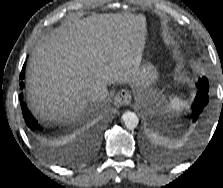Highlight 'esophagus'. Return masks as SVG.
Here are the masks:
<instances>
[{"mask_svg": "<svg viewBox=\"0 0 223 188\" xmlns=\"http://www.w3.org/2000/svg\"><path fill=\"white\" fill-rule=\"evenodd\" d=\"M131 93L128 90L119 91L114 98V105L116 107L128 106L131 103Z\"/></svg>", "mask_w": 223, "mask_h": 188, "instance_id": "esophagus-1", "label": "esophagus"}]
</instances>
